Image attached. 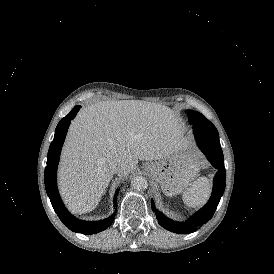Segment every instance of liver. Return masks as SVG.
<instances>
[{
    "label": "liver",
    "instance_id": "1",
    "mask_svg": "<svg viewBox=\"0 0 274 274\" xmlns=\"http://www.w3.org/2000/svg\"><path fill=\"white\" fill-rule=\"evenodd\" d=\"M182 125L167 106L142 100L103 101L71 121L59 167V188L74 214L92 211L114 174L138 160L167 156L183 140Z\"/></svg>",
    "mask_w": 274,
    "mask_h": 274
}]
</instances>
